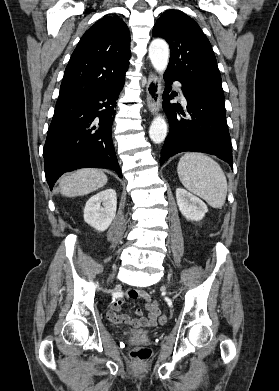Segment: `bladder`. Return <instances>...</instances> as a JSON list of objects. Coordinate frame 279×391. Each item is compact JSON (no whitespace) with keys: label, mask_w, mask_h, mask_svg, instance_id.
Returning a JSON list of instances; mask_svg holds the SVG:
<instances>
[{"label":"bladder","mask_w":279,"mask_h":391,"mask_svg":"<svg viewBox=\"0 0 279 391\" xmlns=\"http://www.w3.org/2000/svg\"><path fill=\"white\" fill-rule=\"evenodd\" d=\"M123 334L133 340L144 341L152 335V332L143 330H127L124 331Z\"/></svg>","instance_id":"31cf9c89"}]
</instances>
